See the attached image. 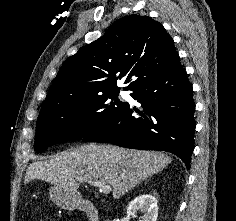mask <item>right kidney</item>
I'll use <instances>...</instances> for the list:
<instances>
[{
  "instance_id": "1",
  "label": "right kidney",
  "mask_w": 236,
  "mask_h": 221,
  "mask_svg": "<svg viewBox=\"0 0 236 221\" xmlns=\"http://www.w3.org/2000/svg\"><path fill=\"white\" fill-rule=\"evenodd\" d=\"M143 213L139 221H156L158 217L157 200L150 194H142L132 200L127 207V215L136 217V213Z\"/></svg>"
}]
</instances>
